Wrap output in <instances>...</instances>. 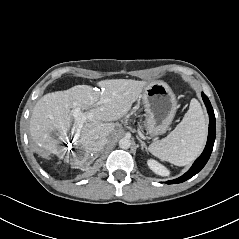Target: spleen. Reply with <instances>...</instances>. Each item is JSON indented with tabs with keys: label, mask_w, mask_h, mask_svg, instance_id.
I'll use <instances>...</instances> for the list:
<instances>
[{
	"label": "spleen",
	"mask_w": 239,
	"mask_h": 239,
	"mask_svg": "<svg viewBox=\"0 0 239 239\" xmlns=\"http://www.w3.org/2000/svg\"><path fill=\"white\" fill-rule=\"evenodd\" d=\"M207 137L203 110L196 99L190 102L183 120L165 138L149 145V152L160 160L177 166L194 161L202 152Z\"/></svg>",
	"instance_id": "1"
}]
</instances>
